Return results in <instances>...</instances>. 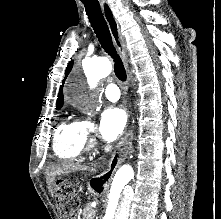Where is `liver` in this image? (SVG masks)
I'll return each mask as SVG.
<instances>
[{"label": "liver", "instance_id": "6515ba94", "mask_svg": "<svg viewBox=\"0 0 221 219\" xmlns=\"http://www.w3.org/2000/svg\"><path fill=\"white\" fill-rule=\"evenodd\" d=\"M91 170L90 167L78 163L66 162L59 165L50 166L47 169V183L48 189L52 196H54V181L56 176L69 174L76 171Z\"/></svg>", "mask_w": 221, "mask_h": 219}]
</instances>
